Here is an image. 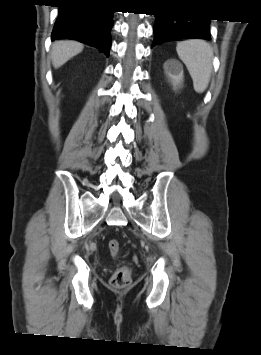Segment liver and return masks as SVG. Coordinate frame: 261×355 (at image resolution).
<instances>
[{
  "label": "liver",
  "mask_w": 261,
  "mask_h": 355,
  "mask_svg": "<svg viewBox=\"0 0 261 355\" xmlns=\"http://www.w3.org/2000/svg\"><path fill=\"white\" fill-rule=\"evenodd\" d=\"M83 48L84 45L76 41H55L51 49V59L54 68L61 67L69 59L79 54Z\"/></svg>",
  "instance_id": "obj_1"
}]
</instances>
